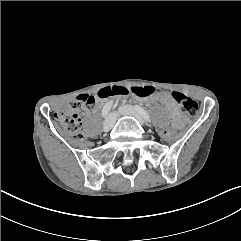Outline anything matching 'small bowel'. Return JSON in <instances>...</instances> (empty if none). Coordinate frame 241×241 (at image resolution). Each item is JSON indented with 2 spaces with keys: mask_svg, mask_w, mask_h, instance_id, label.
I'll list each match as a JSON object with an SVG mask.
<instances>
[{
  "mask_svg": "<svg viewBox=\"0 0 241 241\" xmlns=\"http://www.w3.org/2000/svg\"><path fill=\"white\" fill-rule=\"evenodd\" d=\"M153 99L161 102L172 113L177 121L182 120L179 110L168 93L154 94Z\"/></svg>",
  "mask_w": 241,
  "mask_h": 241,
  "instance_id": "obj_1",
  "label": "small bowel"
}]
</instances>
